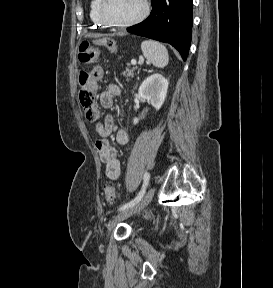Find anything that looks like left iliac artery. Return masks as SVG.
<instances>
[{"mask_svg":"<svg viewBox=\"0 0 273 288\" xmlns=\"http://www.w3.org/2000/svg\"><path fill=\"white\" fill-rule=\"evenodd\" d=\"M149 180H150V174L148 172H146L144 174V182H143V185H142V188H141V191L139 192V194L130 202L122 205L118 210L119 211L125 210V209L132 207L135 204H137L142 199L143 195L145 194L146 188L149 184Z\"/></svg>","mask_w":273,"mask_h":288,"instance_id":"left-iliac-artery-1","label":"left iliac artery"}]
</instances>
